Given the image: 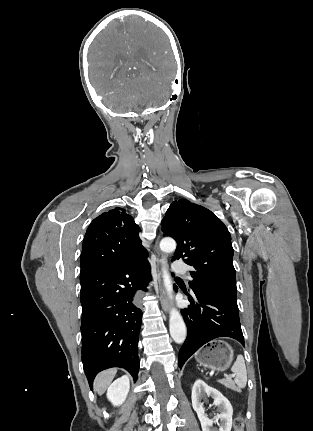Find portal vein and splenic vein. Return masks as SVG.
I'll return each instance as SVG.
<instances>
[{"mask_svg":"<svg viewBox=\"0 0 313 431\" xmlns=\"http://www.w3.org/2000/svg\"><path fill=\"white\" fill-rule=\"evenodd\" d=\"M232 377H233V376H231V378H232ZM220 382H221V383H223V382H224V380H220Z\"/></svg>","mask_w":313,"mask_h":431,"instance_id":"1","label":"portal vein and splenic vein"}]
</instances>
